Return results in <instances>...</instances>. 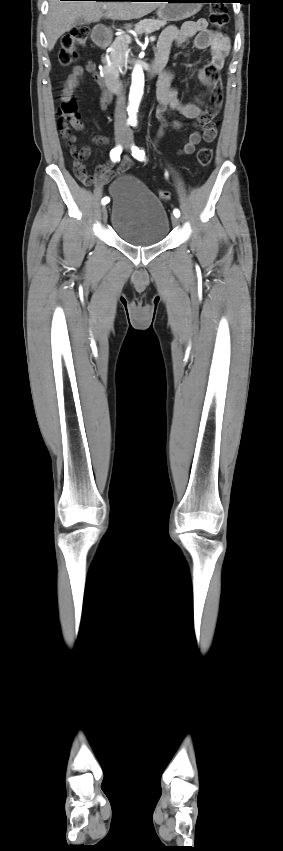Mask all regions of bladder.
Instances as JSON below:
<instances>
[{
  "label": "bladder",
  "mask_w": 283,
  "mask_h": 851,
  "mask_svg": "<svg viewBox=\"0 0 283 851\" xmlns=\"http://www.w3.org/2000/svg\"><path fill=\"white\" fill-rule=\"evenodd\" d=\"M111 224L125 242L148 247L169 232V217L159 198L138 178L125 174L111 185Z\"/></svg>",
  "instance_id": "bladder-1"
}]
</instances>
